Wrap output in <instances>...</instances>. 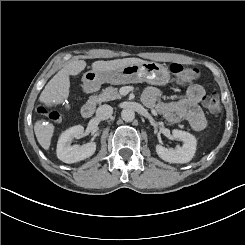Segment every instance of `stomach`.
Returning <instances> with one entry per match:
<instances>
[{
	"label": "stomach",
	"mask_w": 245,
	"mask_h": 245,
	"mask_svg": "<svg viewBox=\"0 0 245 245\" xmlns=\"http://www.w3.org/2000/svg\"><path fill=\"white\" fill-rule=\"evenodd\" d=\"M170 81L168 68L156 62L131 64L110 71H88L82 77L83 88L95 91L103 83L114 85L147 82L152 85H166Z\"/></svg>",
	"instance_id": "1"
}]
</instances>
